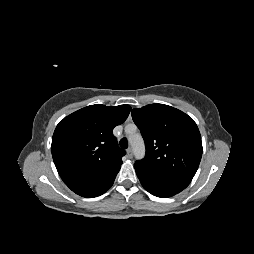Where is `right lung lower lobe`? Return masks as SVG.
Returning a JSON list of instances; mask_svg holds the SVG:
<instances>
[{"mask_svg":"<svg viewBox=\"0 0 254 254\" xmlns=\"http://www.w3.org/2000/svg\"><path fill=\"white\" fill-rule=\"evenodd\" d=\"M119 170L120 168L97 177L79 179L66 185L80 196L87 198L97 197L112 186Z\"/></svg>","mask_w":254,"mask_h":254,"instance_id":"right-lung-lower-lobe-1","label":"right lung lower lobe"}]
</instances>
